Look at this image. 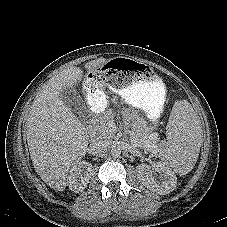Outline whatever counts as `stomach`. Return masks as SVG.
<instances>
[{
  "instance_id": "1",
  "label": "stomach",
  "mask_w": 227,
  "mask_h": 227,
  "mask_svg": "<svg viewBox=\"0 0 227 227\" xmlns=\"http://www.w3.org/2000/svg\"><path fill=\"white\" fill-rule=\"evenodd\" d=\"M86 97L96 113L108 108L103 90L110 88L127 104L148 112L155 120L165 101V86L157 73L132 58H115L99 63L86 76Z\"/></svg>"
}]
</instances>
